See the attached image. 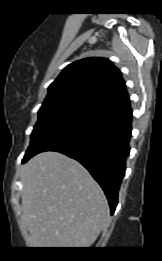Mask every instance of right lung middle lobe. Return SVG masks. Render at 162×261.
<instances>
[{"instance_id":"right-lung-middle-lobe-1","label":"right lung middle lobe","mask_w":162,"mask_h":261,"mask_svg":"<svg viewBox=\"0 0 162 261\" xmlns=\"http://www.w3.org/2000/svg\"><path fill=\"white\" fill-rule=\"evenodd\" d=\"M103 105L100 101L80 92H67L47 96L38 111V121L31 134V143L26 154L33 152L50 134Z\"/></svg>"}]
</instances>
